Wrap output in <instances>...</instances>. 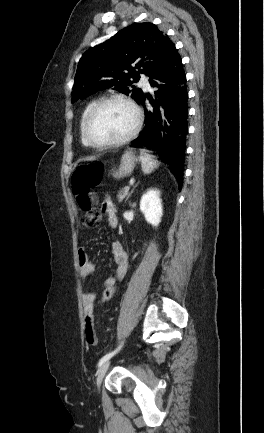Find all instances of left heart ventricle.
I'll return each instance as SVG.
<instances>
[{
  "instance_id": "obj_1",
  "label": "left heart ventricle",
  "mask_w": 264,
  "mask_h": 433,
  "mask_svg": "<svg viewBox=\"0 0 264 433\" xmlns=\"http://www.w3.org/2000/svg\"><path fill=\"white\" fill-rule=\"evenodd\" d=\"M132 110L121 103L101 107L92 117L88 131L99 142L116 140L126 135L134 124Z\"/></svg>"
}]
</instances>
